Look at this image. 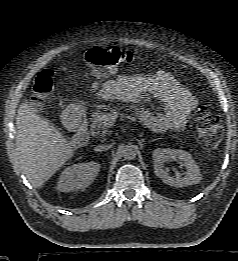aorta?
<instances>
[{"mask_svg": "<svg viewBox=\"0 0 238 261\" xmlns=\"http://www.w3.org/2000/svg\"><path fill=\"white\" fill-rule=\"evenodd\" d=\"M122 155L126 160H133L137 155V147L133 144H126L122 148Z\"/></svg>", "mask_w": 238, "mask_h": 261, "instance_id": "1", "label": "aorta"}]
</instances>
